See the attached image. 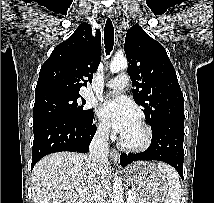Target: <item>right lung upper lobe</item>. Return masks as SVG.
Listing matches in <instances>:
<instances>
[{
    "label": "right lung upper lobe",
    "instance_id": "obj_1",
    "mask_svg": "<svg viewBox=\"0 0 214 203\" xmlns=\"http://www.w3.org/2000/svg\"><path fill=\"white\" fill-rule=\"evenodd\" d=\"M100 41V30L97 29L93 37L91 26L81 23L41 66L35 98L52 93H79L82 86L92 81L98 68Z\"/></svg>",
    "mask_w": 214,
    "mask_h": 203
}]
</instances>
